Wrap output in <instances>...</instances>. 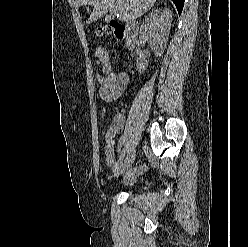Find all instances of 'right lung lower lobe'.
<instances>
[{
	"label": "right lung lower lobe",
	"mask_w": 248,
	"mask_h": 247,
	"mask_svg": "<svg viewBox=\"0 0 248 247\" xmlns=\"http://www.w3.org/2000/svg\"><path fill=\"white\" fill-rule=\"evenodd\" d=\"M172 1L178 10V13L181 14L183 6H184V0H172Z\"/></svg>",
	"instance_id": "1"
}]
</instances>
